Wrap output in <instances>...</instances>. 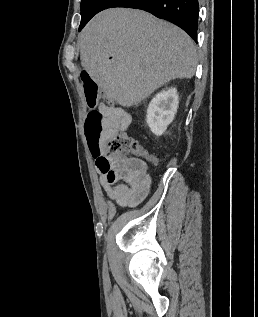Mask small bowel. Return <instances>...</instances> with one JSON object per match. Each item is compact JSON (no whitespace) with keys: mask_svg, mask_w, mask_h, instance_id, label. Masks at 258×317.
Listing matches in <instances>:
<instances>
[{"mask_svg":"<svg viewBox=\"0 0 258 317\" xmlns=\"http://www.w3.org/2000/svg\"><path fill=\"white\" fill-rule=\"evenodd\" d=\"M107 115L109 135L124 132L131 124V115L121 108L100 104ZM102 188L118 207H132L142 202L150 190L147 163L139 158H113L104 150L93 152Z\"/></svg>","mask_w":258,"mask_h":317,"instance_id":"c3829d8e","label":"small bowel"}]
</instances>
